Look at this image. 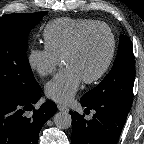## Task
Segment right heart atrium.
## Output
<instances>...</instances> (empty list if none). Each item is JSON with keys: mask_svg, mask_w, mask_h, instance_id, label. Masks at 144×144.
Here are the masks:
<instances>
[{"mask_svg": "<svg viewBox=\"0 0 144 144\" xmlns=\"http://www.w3.org/2000/svg\"><path fill=\"white\" fill-rule=\"evenodd\" d=\"M61 62V57L46 46L32 47L27 54V63L40 76L52 74Z\"/></svg>", "mask_w": 144, "mask_h": 144, "instance_id": "d8ad5b80", "label": "right heart atrium"}]
</instances>
